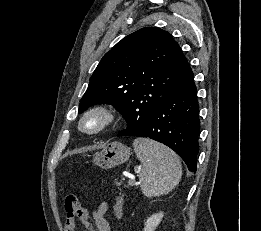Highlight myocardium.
<instances>
[{
    "label": "myocardium",
    "instance_id": "obj_1",
    "mask_svg": "<svg viewBox=\"0 0 261 231\" xmlns=\"http://www.w3.org/2000/svg\"><path fill=\"white\" fill-rule=\"evenodd\" d=\"M117 118L116 109L108 104H96L86 109L80 116L77 129L87 135L98 134L109 128ZM96 119L97 124L93 128H86L85 123Z\"/></svg>",
    "mask_w": 261,
    "mask_h": 231
}]
</instances>
